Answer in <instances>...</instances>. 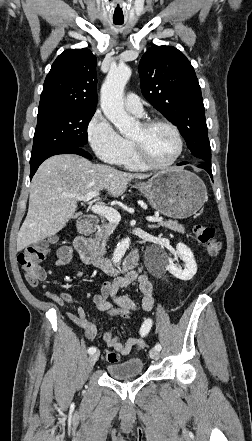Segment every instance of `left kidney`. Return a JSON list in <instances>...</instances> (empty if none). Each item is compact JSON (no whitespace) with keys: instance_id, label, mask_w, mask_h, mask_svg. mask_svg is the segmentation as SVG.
I'll list each match as a JSON object with an SVG mask.
<instances>
[{"instance_id":"obj_1","label":"left kidney","mask_w":252,"mask_h":441,"mask_svg":"<svg viewBox=\"0 0 252 441\" xmlns=\"http://www.w3.org/2000/svg\"><path fill=\"white\" fill-rule=\"evenodd\" d=\"M177 253L178 256L185 262V268L181 269L177 267L173 263V259L169 258L168 265L166 266V270L180 280L183 281L191 280L197 272V264L191 249L183 243H178Z\"/></svg>"}]
</instances>
